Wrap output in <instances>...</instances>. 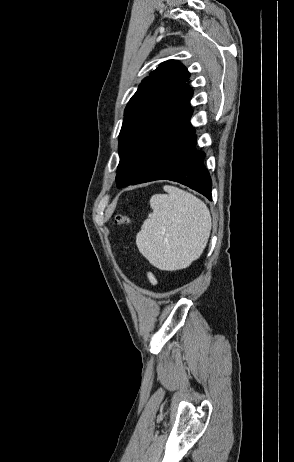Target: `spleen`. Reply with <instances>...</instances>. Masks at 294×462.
I'll list each match as a JSON object with an SVG mask.
<instances>
[{
	"instance_id": "1",
	"label": "spleen",
	"mask_w": 294,
	"mask_h": 462,
	"mask_svg": "<svg viewBox=\"0 0 294 462\" xmlns=\"http://www.w3.org/2000/svg\"><path fill=\"white\" fill-rule=\"evenodd\" d=\"M167 194L150 199L153 210L136 236L139 251L161 270L188 267L202 254L211 231L206 204L193 194L164 186Z\"/></svg>"
}]
</instances>
